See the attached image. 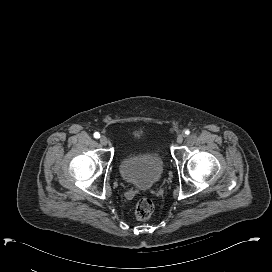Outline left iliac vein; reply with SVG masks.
Listing matches in <instances>:
<instances>
[{"instance_id": "1", "label": "left iliac vein", "mask_w": 272, "mask_h": 272, "mask_svg": "<svg viewBox=\"0 0 272 272\" xmlns=\"http://www.w3.org/2000/svg\"><path fill=\"white\" fill-rule=\"evenodd\" d=\"M183 140H184V134H179L176 139L177 143L181 144Z\"/></svg>"}]
</instances>
